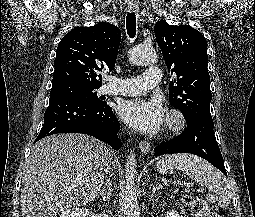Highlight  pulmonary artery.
Returning a JSON list of instances; mask_svg holds the SVG:
<instances>
[{
    "instance_id": "obj_1",
    "label": "pulmonary artery",
    "mask_w": 255,
    "mask_h": 217,
    "mask_svg": "<svg viewBox=\"0 0 255 217\" xmlns=\"http://www.w3.org/2000/svg\"><path fill=\"white\" fill-rule=\"evenodd\" d=\"M105 92L110 95L134 96L149 91L161 80V71L157 67H149L144 73L132 78L109 77Z\"/></svg>"
}]
</instances>
